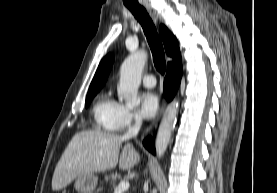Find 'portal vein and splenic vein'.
Returning <instances> with one entry per match:
<instances>
[{"mask_svg": "<svg viewBox=\"0 0 277 193\" xmlns=\"http://www.w3.org/2000/svg\"><path fill=\"white\" fill-rule=\"evenodd\" d=\"M130 187L128 180H122L118 186L115 188L114 193H123L127 191Z\"/></svg>", "mask_w": 277, "mask_h": 193, "instance_id": "18ae733b", "label": "portal vein and splenic vein"}]
</instances>
